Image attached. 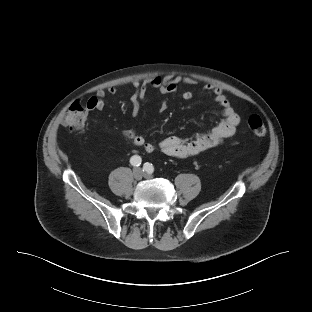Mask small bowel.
I'll use <instances>...</instances> for the list:
<instances>
[{"instance_id":"small-bowel-1","label":"small bowel","mask_w":312,"mask_h":312,"mask_svg":"<svg viewBox=\"0 0 312 312\" xmlns=\"http://www.w3.org/2000/svg\"><path fill=\"white\" fill-rule=\"evenodd\" d=\"M195 81L184 76H169V77H152L143 81L136 80L133 83L135 92L131 97L132 112L134 115L139 114L140 102L147 100V92L149 88L159 91L163 95L177 93L183 84H192ZM117 89L114 86H109L106 89H98L96 95L91 97L87 106L90 110H103L105 108V97L115 95ZM201 93L208 96L216 103L222 111L223 119L218 122L209 132L196 134L192 137L169 136L163 140L153 143L147 141L145 135L137 130L128 129L123 131V136L134 146L142 147L147 153H162L165 155L186 158L203 152L209 148L215 147L225 140L232 138L237 126L240 123V117L231 106L228 97L223 90L215 85H205ZM194 93L190 90L181 92V97L184 100H190ZM168 101H164L161 110H165Z\"/></svg>"}]
</instances>
